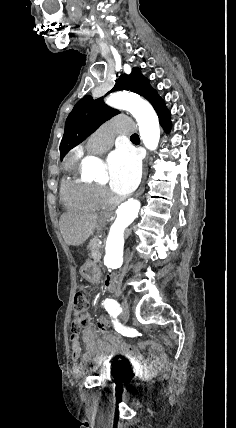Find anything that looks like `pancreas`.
<instances>
[{"label":"pancreas","mask_w":236,"mask_h":428,"mask_svg":"<svg viewBox=\"0 0 236 428\" xmlns=\"http://www.w3.org/2000/svg\"><path fill=\"white\" fill-rule=\"evenodd\" d=\"M98 242V238H93V240H90L88 246V250H90L89 258H92L94 262H100L101 260V248H103V246H100Z\"/></svg>","instance_id":"1"}]
</instances>
